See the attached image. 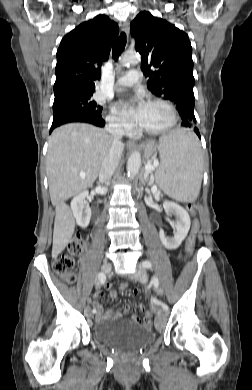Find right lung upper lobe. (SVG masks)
I'll return each instance as SVG.
<instances>
[{
  "label": "right lung upper lobe",
  "mask_w": 252,
  "mask_h": 390,
  "mask_svg": "<svg viewBox=\"0 0 252 390\" xmlns=\"http://www.w3.org/2000/svg\"><path fill=\"white\" fill-rule=\"evenodd\" d=\"M118 25L105 15L80 24L68 33L57 50L54 101L92 94L100 79L102 62L108 59Z\"/></svg>",
  "instance_id": "right-lung-upper-lobe-1"
}]
</instances>
